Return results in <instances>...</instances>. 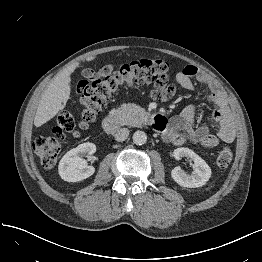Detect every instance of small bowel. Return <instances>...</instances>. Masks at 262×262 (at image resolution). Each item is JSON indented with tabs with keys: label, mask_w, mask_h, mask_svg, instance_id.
Masks as SVG:
<instances>
[{
	"label": "small bowel",
	"mask_w": 262,
	"mask_h": 262,
	"mask_svg": "<svg viewBox=\"0 0 262 262\" xmlns=\"http://www.w3.org/2000/svg\"><path fill=\"white\" fill-rule=\"evenodd\" d=\"M193 79L206 85L210 91L209 101L215 106L212 113V119L219 123V136L209 133V128L205 125L195 127L196 107L188 106L180 114L169 121L166 126V121L160 125L162 137L164 141L182 145L185 142H193L202 145L203 147L212 150L218 144V138L226 143L234 141V127L231 118V112L227 97L222 93L215 83L203 72L199 71L196 66L188 65L183 70L176 73L174 81L169 84V87L155 97L161 101L170 99L176 92L177 86L184 87L190 91H196L192 82ZM162 118V117H161Z\"/></svg>",
	"instance_id": "1"
}]
</instances>
